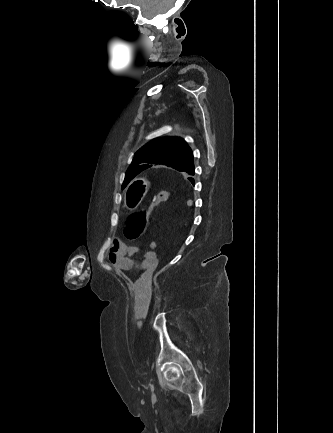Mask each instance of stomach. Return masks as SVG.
<instances>
[{
  "label": "stomach",
  "mask_w": 333,
  "mask_h": 433,
  "mask_svg": "<svg viewBox=\"0 0 333 433\" xmlns=\"http://www.w3.org/2000/svg\"><path fill=\"white\" fill-rule=\"evenodd\" d=\"M149 187L150 183L146 178H141L130 182V184L126 187V192L124 193V206L126 209L129 211L137 209L145 198Z\"/></svg>",
  "instance_id": "1"
}]
</instances>
